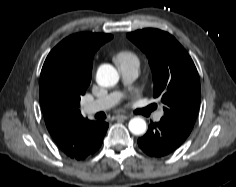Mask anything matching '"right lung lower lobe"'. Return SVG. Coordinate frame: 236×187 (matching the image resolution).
<instances>
[{"mask_svg":"<svg viewBox=\"0 0 236 187\" xmlns=\"http://www.w3.org/2000/svg\"><path fill=\"white\" fill-rule=\"evenodd\" d=\"M108 124L104 121H97L91 131L86 151L80 160L92 156L101 146L106 134Z\"/></svg>","mask_w":236,"mask_h":187,"instance_id":"1","label":"right lung lower lobe"}]
</instances>
